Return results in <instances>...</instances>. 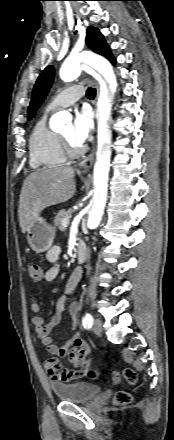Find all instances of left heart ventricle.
<instances>
[{
	"mask_svg": "<svg viewBox=\"0 0 174 440\" xmlns=\"http://www.w3.org/2000/svg\"><path fill=\"white\" fill-rule=\"evenodd\" d=\"M70 126H67L62 132H61V134L63 135V136H65L69 141H70V143L74 146V147H77V145H75L72 141H71V139H70Z\"/></svg>",
	"mask_w": 174,
	"mask_h": 440,
	"instance_id": "obj_1",
	"label": "left heart ventricle"
}]
</instances>
